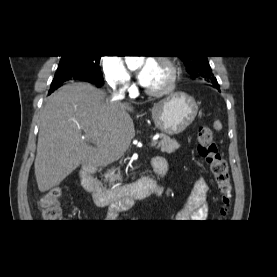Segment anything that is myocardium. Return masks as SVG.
Returning a JSON list of instances; mask_svg holds the SVG:
<instances>
[{"label":"myocardium","instance_id":"f54148a6","mask_svg":"<svg viewBox=\"0 0 277 277\" xmlns=\"http://www.w3.org/2000/svg\"><path fill=\"white\" fill-rule=\"evenodd\" d=\"M157 62L161 63L167 68L168 80L163 86L159 88H145V92L151 96H162L171 92L174 89L178 79V69L173 61H171L168 57H159Z\"/></svg>","mask_w":277,"mask_h":277}]
</instances>
